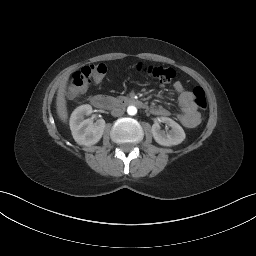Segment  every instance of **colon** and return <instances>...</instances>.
Wrapping results in <instances>:
<instances>
[{
	"mask_svg": "<svg viewBox=\"0 0 256 256\" xmlns=\"http://www.w3.org/2000/svg\"><path fill=\"white\" fill-rule=\"evenodd\" d=\"M137 70L156 79L161 83H170L176 77V72L169 67L139 64ZM106 74V66L104 64H93L85 66L76 71L70 80L67 95L70 99L80 97L92 82H99ZM194 103L201 109L207 108L206 93L202 87L193 89Z\"/></svg>",
	"mask_w": 256,
	"mask_h": 256,
	"instance_id": "obj_1",
	"label": "colon"
}]
</instances>
